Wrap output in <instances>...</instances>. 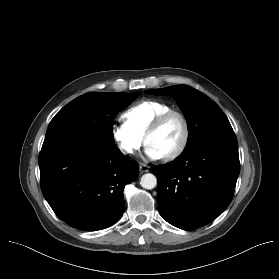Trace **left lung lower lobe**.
Here are the masks:
<instances>
[{
  "mask_svg": "<svg viewBox=\"0 0 279 279\" xmlns=\"http://www.w3.org/2000/svg\"><path fill=\"white\" fill-rule=\"evenodd\" d=\"M158 179L162 217L183 230H195L218 217L229 205L240 172L235 136L202 140L173 162L151 167Z\"/></svg>",
  "mask_w": 279,
  "mask_h": 279,
  "instance_id": "0a47b994",
  "label": "left lung lower lobe"
}]
</instances>
